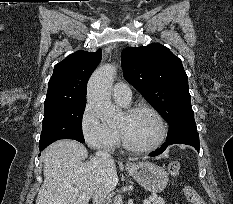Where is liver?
<instances>
[{
	"label": "liver",
	"mask_w": 233,
	"mask_h": 204,
	"mask_svg": "<svg viewBox=\"0 0 233 204\" xmlns=\"http://www.w3.org/2000/svg\"><path fill=\"white\" fill-rule=\"evenodd\" d=\"M44 182L38 192L36 204H88L90 198H106L118 184L114 161L103 162L88 157L81 143L63 139L54 142L41 154ZM68 186L78 192L69 191ZM85 194L84 198H80Z\"/></svg>",
	"instance_id": "6515ba94"
}]
</instances>
